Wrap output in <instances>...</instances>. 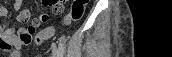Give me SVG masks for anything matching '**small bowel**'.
<instances>
[{"label": "small bowel", "instance_id": "small-bowel-1", "mask_svg": "<svg viewBox=\"0 0 172 57\" xmlns=\"http://www.w3.org/2000/svg\"><path fill=\"white\" fill-rule=\"evenodd\" d=\"M22 0H16L13 8L18 12L17 21L26 23L30 20L31 12L29 9H22ZM44 6H50L53 13H60L63 10L64 2L57 3L53 0H42ZM9 11L6 6L0 4V50L14 56L24 47L34 42L36 45L41 44L51 35H44L45 29L37 33V27L49 20V14L42 12L38 17L31 20L26 27L15 28L10 26Z\"/></svg>", "mask_w": 172, "mask_h": 57}]
</instances>
